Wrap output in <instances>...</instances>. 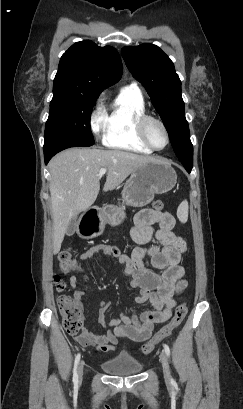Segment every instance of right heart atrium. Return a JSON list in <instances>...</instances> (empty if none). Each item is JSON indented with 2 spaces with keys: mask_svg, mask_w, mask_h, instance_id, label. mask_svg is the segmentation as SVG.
Segmentation results:
<instances>
[{
  "mask_svg": "<svg viewBox=\"0 0 243 409\" xmlns=\"http://www.w3.org/2000/svg\"><path fill=\"white\" fill-rule=\"evenodd\" d=\"M89 119L91 130L96 136H101L105 133L108 126V116L103 107L102 97L95 101Z\"/></svg>",
  "mask_w": 243,
  "mask_h": 409,
  "instance_id": "1",
  "label": "right heart atrium"
}]
</instances>
